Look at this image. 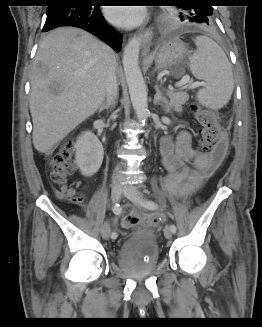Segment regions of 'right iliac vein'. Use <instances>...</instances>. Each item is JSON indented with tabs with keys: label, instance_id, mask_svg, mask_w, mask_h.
Listing matches in <instances>:
<instances>
[{
	"label": "right iliac vein",
	"instance_id": "1",
	"mask_svg": "<svg viewBox=\"0 0 262 327\" xmlns=\"http://www.w3.org/2000/svg\"><path fill=\"white\" fill-rule=\"evenodd\" d=\"M122 192V187L119 182L113 184L111 188V200L113 203L119 201ZM110 225L108 222H105L101 227V235L104 239H108L110 236Z\"/></svg>",
	"mask_w": 262,
	"mask_h": 327
}]
</instances>
